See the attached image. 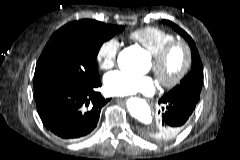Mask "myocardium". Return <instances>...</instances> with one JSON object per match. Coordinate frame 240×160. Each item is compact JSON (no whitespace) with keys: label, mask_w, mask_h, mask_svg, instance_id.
<instances>
[{"label":"myocardium","mask_w":240,"mask_h":160,"mask_svg":"<svg viewBox=\"0 0 240 160\" xmlns=\"http://www.w3.org/2000/svg\"><path fill=\"white\" fill-rule=\"evenodd\" d=\"M175 49L181 50L183 54V63L179 71L170 79H166L162 75V70L165 63ZM153 72L160 83V85L167 89H172L178 86L187 76L191 64H192V54L189 46L180 40H172L164 45L157 53L152 55Z\"/></svg>","instance_id":"myocardium-1"}]
</instances>
